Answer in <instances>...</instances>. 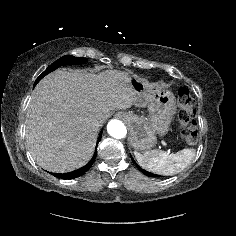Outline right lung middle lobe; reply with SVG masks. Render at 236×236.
<instances>
[{
  "label": "right lung middle lobe",
  "mask_w": 236,
  "mask_h": 236,
  "mask_svg": "<svg viewBox=\"0 0 236 236\" xmlns=\"http://www.w3.org/2000/svg\"><path fill=\"white\" fill-rule=\"evenodd\" d=\"M87 61L86 58H82V57H73L71 55H65L61 58H59L58 60H56L50 67H48L35 81L34 86L47 74H49L50 72L54 71L55 69H57L58 67L62 66V65H77V64H82L85 63Z\"/></svg>",
  "instance_id": "1"
}]
</instances>
